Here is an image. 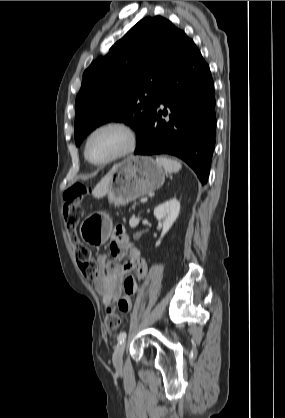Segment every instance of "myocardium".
<instances>
[{"mask_svg": "<svg viewBox=\"0 0 285 418\" xmlns=\"http://www.w3.org/2000/svg\"><path fill=\"white\" fill-rule=\"evenodd\" d=\"M108 128H115V129H118V130L122 131L126 136V143L123 146V148L119 152L114 154L113 156L107 158L104 161L95 162V161L91 160L88 156V152H87L88 144H89L91 138L97 132H99L101 130H104V129H108ZM136 143H137V135H136L135 130L130 125L126 124L125 122L115 121V120L103 122V123L97 125L96 127H94L87 134V136L84 140V145H83L84 157L92 165H95V166L107 165V164H110V163H112L116 160H119V159L124 158V157L128 156L129 154H131L136 147Z\"/></svg>", "mask_w": 285, "mask_h": 418, "instance_id": "1", "label": "myocardium"}]
</instances>
